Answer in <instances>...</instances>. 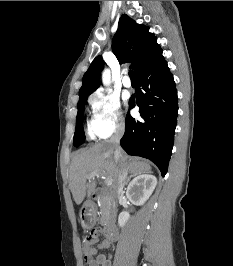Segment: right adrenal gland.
<instances>
[{
  "label": "right adrenal gland",
  "instance_id": "1",
  "mask_svg": "<svg viewBox=\"0 0 233 266\" xmlns=\"http://www.w3.org/2000/svg\"><path fill=\"white\" fill-rule=\"evenodd\" d=\"M133 177V175H131L128 179H127V181H126V185L129 183V181H130V179Z\"/></svg>",
  "mask_w": 233,
  "mask_h": 266
}]
</instances>
